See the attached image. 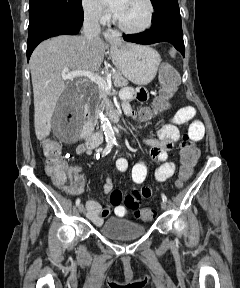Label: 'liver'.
Here are the masks:
<instances>
[{"label":"liver","instance_id":"liver-1","mask_svg":"<svg viewBox=\"0 0 240 288\" xmlns=\"http://www.w3.org/2000/svg\"><path fill=\"white\" fill-rule=\"evenodd\" d=\"M106 50L99 38L88 44L83 36L61 35L40 43L30 58L34 94V126L38 140L51 132L56 104L68 84L62 75L75 70L95 72Z\"/></svg>","mask_w":240,"mask_h":288}]
</instances>
